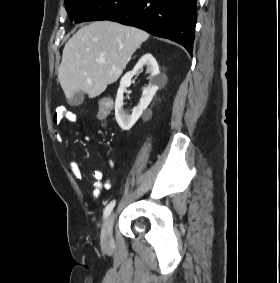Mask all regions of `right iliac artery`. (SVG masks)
<instances>
[{
  "label": "right iliac artery",
  "instance_id": "obj_1",
  "mask_svg": "<svg viewBox=\"0 0 280 283\" xmlns=\"http://www.w3.org/2000/svg\"><path fill=\"white\" fill-rule=\"evenodd\" d=\"M115 203H116V201L113 200L106 206V208L104 210V218H107L110 215V213L112 212V210L115 206Z\"/></svg>",
  "mask_w": 280,
  "mask_h": 283
}]
</instances>
